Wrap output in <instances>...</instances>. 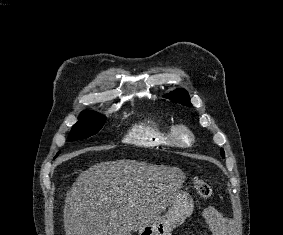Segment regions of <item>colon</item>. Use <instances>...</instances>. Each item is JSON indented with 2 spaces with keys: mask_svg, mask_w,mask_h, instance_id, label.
<instances>
[{
  "mask_svg": "<svg viewBox=\"0 0 283 235\" xmlns=\"http://www.w3.org/2000/svg\"><path fill=\"white\" fill-rule=\"evenodd\" d=\"M194 186L198 195L203 199H208L212 196L213 190L211 185L202 178H196L194 180Z\"/></svg>",
  "mask_w": 283,
  "mask_h": 235,
  "instance_id": "obj_1",
  "label": "colon"
}]
</instances>
